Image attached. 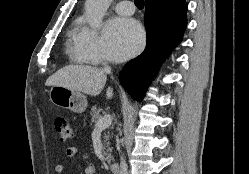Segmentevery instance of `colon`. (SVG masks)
<instances>
[{"mask_svg": "<svg viewBox=\"0 0 249 174\" xmlns=\"http://www.w3.org/2000/svg\"><path fill=\"white\" fill-rule=\"evenodd\" d=\"M55 129L61 143L65 144L73 139L74 131L67 119L62 117L56 118Z\"/></svg>", "mask_w": 249, "mask_h": 174, "instance_id": "5ec220e1", "label": "colon"}]
</instances>
